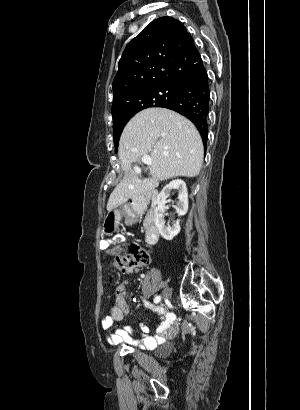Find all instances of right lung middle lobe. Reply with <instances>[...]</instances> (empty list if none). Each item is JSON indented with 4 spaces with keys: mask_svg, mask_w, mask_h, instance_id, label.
<instances>
[{
    "mask_svg": "<svg viewBox=\"0 0 300 410\" xmlns=\"http://www.w3.org/2000/svg\"><path fill=\"white\" fill-rule=\"evenodd\" d=\"M180 88V85H167L142 90L134 94L124 113L113 118L115 152L124 126L137 112L148 107H161L164 103L170 102Z\"/></svg>",
    "mask_w": 300,
    "mask_h": 410,
    "instance_id": "obj_1",
    "label": "right lung middle lobe"
}]
</instances>
